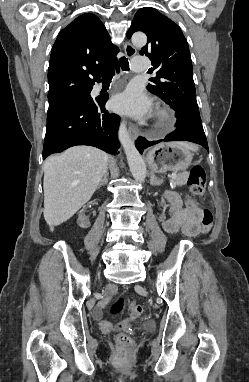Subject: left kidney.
<instances>
[{
    "label": "left kidney",
    "instance_id": "obj_1",
    "mask_svg": "<svg viewBox=\"0 0 249 382\" xmlns=\"http://www.w3.org/2000/svg\"><path fill=\"white\" fill-rule=\"evenodd\" d=\"M154 207L155 208H165L166 207V202L165 201H155L154 202Z\"/></svg>",
    "mask_w": 249,
    "mask_h": 382
}]
</instances>
